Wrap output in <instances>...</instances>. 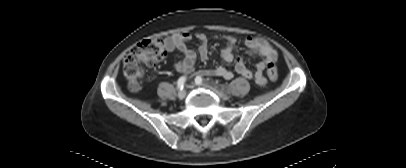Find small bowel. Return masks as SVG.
I'll return each instance as SVG.
<instances>
[{"instance_id":"1","label":"small bowel","mask_w":406,"mask_h":168,"mask_svg":"<svg viewBox=\"0 0 406 168\" xmlns=\"http://www.w3.org/2000/svg\"><path fill=\"white\" fill-rule=\"evenodd\" d=\"M196 37L201 43L199 46L200 56L206 59L208 57V38L204 33H197ZM221 37L227 41V46L221 51V57L224 62L231 63L234 61L233 51L237 43V38L233 35H222ZM190 40L191 35L189 33L168 36L164 40L166 51L173 52L177 50L184 54V58L174 64L175 70L182 74H189L194 70L196 53L188 46ZM245 44L252 54L259 55L262 59L256 63L255 70L252 71L245 65L242 58H237L235 71L246 79H253L258 86H265L267 83L265 76L267 64L276 61L277 53L275 49L261 37L248 36L245 39ZM199 75L216 76L226 80L233 77V73L223 66L201 70L199 71Z\"/></svg>"}]
</instances>
